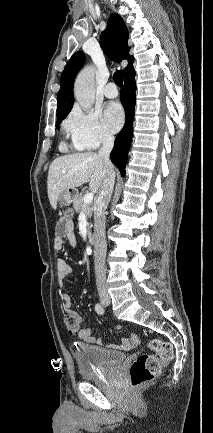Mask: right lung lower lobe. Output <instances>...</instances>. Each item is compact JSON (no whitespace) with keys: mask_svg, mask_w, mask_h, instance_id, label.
Listing matches in <instances>:
<instances>
[{"mask_svg":"<svg viewBox=\"0 0 213 433\" xmlns=\"http://www.w3.org/2000/svg\"><path fill=\"white\" fill-rule=\"evenodd\" d=\"M135 71L131 69L124 75V87L121 90V102L125 109V125L116 137L111 151V161L118 167L121 176H125L127 155L133 136V118L135 106Z\"/></svg>","mask_w":213,"mask_h":433,"instance_id":"right-lung-lower-lobe-1","label":"right lung lower lobe"}]
</instances>
